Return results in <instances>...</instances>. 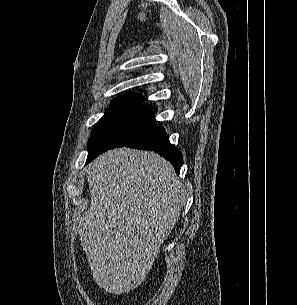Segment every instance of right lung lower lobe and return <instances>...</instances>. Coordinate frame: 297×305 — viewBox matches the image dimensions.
Wrapping results in <instances>:
<instances>
[{
	"mask_svg": "<svg viewBox=\"0 0 297 305\" xmlns=\"http://www.w3.org/2000/svg\"><path fill=\"white\" fill-rule=\"evenodd\" d=\"M122 146L141 149V150L155 151L171 162L177 174H179L180 172V168L183 162L182 153L180 152L179 149H177L175 146L170 144L169 137L165 132L164 128H162L161 126H155L141 137L129 143L116 147H122ZM113 148L115 147L96 151L87 159L86 164L91 162L94 158H96L98 155L102 154L103 152L107 151L108 149H113Z\"/></svg>",
	"mask_w": 297,
	"mask_h": 305,
	"instance_id": "obj_1",
	"label": "right lung lower lobe"
}]
</instances>
